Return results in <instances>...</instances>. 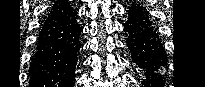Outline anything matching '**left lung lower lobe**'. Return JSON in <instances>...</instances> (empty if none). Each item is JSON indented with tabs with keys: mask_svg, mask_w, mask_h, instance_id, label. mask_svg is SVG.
<instances>
[{
	"mask_svg": "<svg viewBox=\"0 0 205 87\" xmlns=\"http://www.w3.org/2000/svg\"><path fill=\"white\" fill-rule=\"evenodd\" d=\"M124 29L128 33L126 42L132 60L144 71L143 85L162 86L165 80L160 72L167 66L168 59L147 9L141 4H133L128 10Z\"/></svg>",
	"mask_w": 205,
	"mask_h": 87,
	"instance_id": "1",
	"label": "left lung lower lobe"
}]
</instances>
